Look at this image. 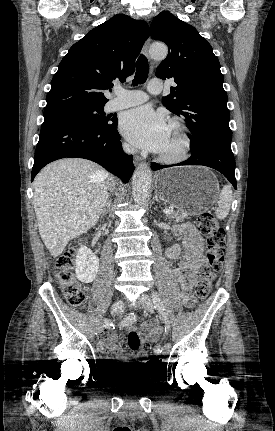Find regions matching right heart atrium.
<instances>
[{"mask_svg":"<svg viewBox=\"0 0 275 431\" xmlns=\"http://www.w3.org/2000/svg\"><path fill=\"white\" fill-rule=\"evenodd\" d=\"M124 149H125V150H130V147H129V145H127V144H124Z\"/></svg>","mask_w":275,"mask_h":431,"instance_id":"obj_1","label":"right heart atrium"}]
</instances>
